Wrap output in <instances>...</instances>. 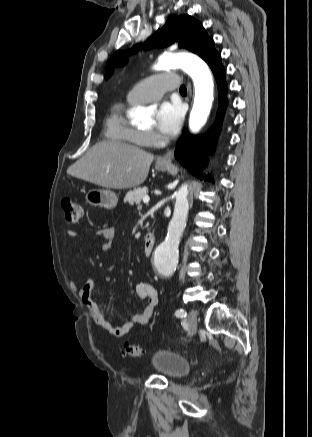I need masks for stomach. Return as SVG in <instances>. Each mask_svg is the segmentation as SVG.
<instances>
[{
  "label": "stomach",
  "instance_id": "obj_1",
  "mask_svg": "<svg viewBox=\"0 0 312 437\" xmlns=\"http://www.w3.org/2000/svg\"><path fill=\"white\" fill-rule=\"evenodd\" d=\"M169 164H156V169L166 171ZM86 203L92 207H100L112 210L117 206L118 197L109 189H89L85 194Z\"/></svg>",
  "mask_w": 312,
  "mask_h": 437
}]
</instances>
